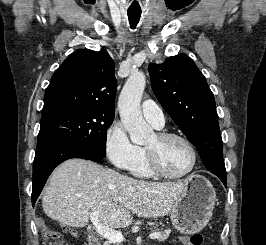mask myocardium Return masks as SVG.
<instances>
[{
    "label": "myocardium",
    "mask_w": 266,
    "mask_h": 245,
    "mask_svg": "<svg viewBox=\"0 0 266 245\" xmlns=\"http://www.w3.org/2000/svg\"><path fill=\"white\" fill-rule=\"evenodd\" d=\"M160 139L162 140H167L171 138H176L181 141H183L191 150L192 153V163L188 171L180 176H172L169 175L161 170L159 167L156 159L154 156L145 148V155H146V161L148 164V167L153 174V176L161 179H166V180H173V181H178V180H183L189 177L194 170L196 169L197 163H198V152L194 144L188 139L186 136L179 134V133H174V132H168V131H160L156 134Z\"/></svg>",
    "instance_id": "1"
}]
</instances>
